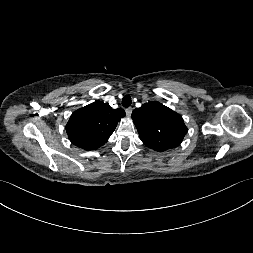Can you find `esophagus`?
<instances>
[{"mask_svg": "<svg viewBox=\"0 0 253 253\" xmlns=\"http://www.w3.org/2000/svg\"><path fill=\"white\" fill-rule=\"evenodd\" d=\"M132 111H133V108H131V107L127 108V109L125 110L126 115H127L128 117L131 116Z\"/></svg>", "mask_w": 253, "mask_h": 253, "instance_id": "1", "label": "esophagus"}]
</instances>
